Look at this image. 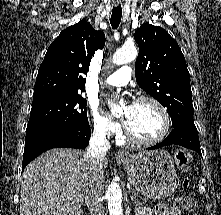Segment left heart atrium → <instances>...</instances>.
Masks as SVG:
<instances>
[{
    "label": "left heart atrium",
    "instance_id": "obj_1",
    "mask_svg": "<svg viewBox=\"0 0 221 215\" xmlns=\"http://www.w3.org/2000/svg\"><path fill=\"white\" fill-rule=\"evenodd\" d=\"M134 106V103H128L126 108H125V114L123 115V122L126 123L127 119H128V114L129 112L132 110Z\"/></svg>",
    "mask_w": 221,
    "mask_h": 215
}]
</instances>
